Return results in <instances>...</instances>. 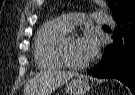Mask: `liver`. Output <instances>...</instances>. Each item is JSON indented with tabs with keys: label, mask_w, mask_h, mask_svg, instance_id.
<instances>
[{
	"label": "liver",
	"mask_w": 135,
	"mask_h": 95,
	"mask_svg": "<svg viewBox=\"0 0 135 95\" xmlns=\"http://www.w3.org/2000/svg\"><path fill=\"white\" fill-rule=\"evenodd\" d=\"M74 76V72L60 70L40 72L28 82L24 89V95H48Z\"/></svg>",
	"instance_id": "1"
}]
</instances>
